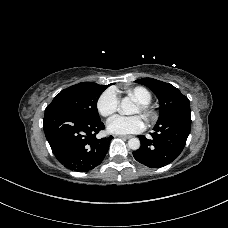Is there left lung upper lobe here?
<instances>
[{
	"label": "left lung upper lobe",
	"mask_w": 228,
	"mask_h": 228,
	"mask_svg": "<svg viewBox=\"0 0 228 228\" xmlns=\"http://www.w3.org/2000/svg\"><path fill=\"white\" fill-rule=\"evenodd\" d=\"M151 89L159 99L160 117L157 124L169 117H174L176 125H181L182 120L179 113L182 110H190L189 99L184 96L176 87L153 78H143L135 81Z\"/></svg>",
	"instance_id": "left-lung-upper-lobe-1"
}]
</instances>
